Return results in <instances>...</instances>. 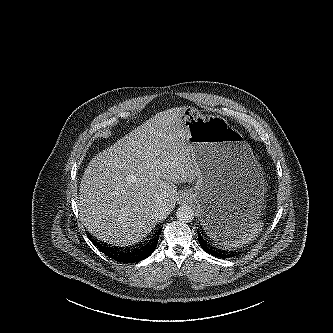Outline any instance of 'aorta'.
Wrapping results in <instances>:
<instances>
[{"instance_id":"762f6f07","label":"aorta","mask_w":333,"mask_h":333,"mask_svg":"<svg viewBox=\"0 0 333 333\" xmlns=\"http://www.w3.org/2000/svg\"><path fill=\"white\" fill-rule=\"evenodd\" d=\"M176 217L183 223L192 222L194 219V210L188 205H182L177 209Z\"/></svg>"}]
</instances>
